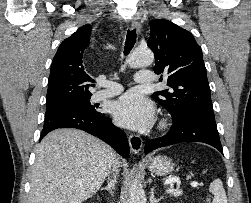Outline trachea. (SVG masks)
I'll list each match as a JSON object with an SVG mask.
<instances>
[{"mask_svg":"<svg viewBox=\"0 0 251 203\" xmlns=\"http://www.w3.org/2000/svg\"><path fill=\"white\" fill-rule=\"evenodd\" d=\"M136 43V30H129L126 35V42L124 47V55H127Z\"/></svg>","mask_w":251,"mask_h":203,"instance_id":"1","label":"trachea"}]
</instances>
